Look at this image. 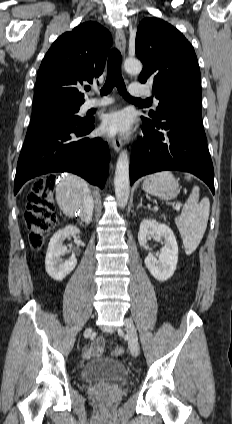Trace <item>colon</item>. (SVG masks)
Returning <instances> with one entry per match:
<instances>
[{
  "label": "colon",
  "mask_w": 232,
  "mask_h": 424,
  "mask_svg": "<svg viewBox=\"0 0 232 424\" xmlns=\"http://www.w3.org/2000/svg\"><path fill=\"white\" fill-rule=\"evenodd\" d=\"M54 201L52 190L44 183L35 182L28 196V204L24 214L29 229V243L31 248L39 249L44 238L54 227ZM124 350V343L118 342L113 355H120Z\"/></svg>",
  "instance_id": "1"
}]
</instances>
